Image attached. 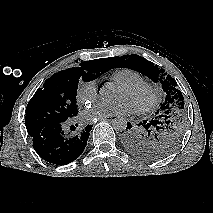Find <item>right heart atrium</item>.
Masks as SVG:
<instances>
[{
  "label": "right heart atrium",
  "instance_id": "right-heart-atrium-1",
  "mask_svg": "<svg viewBox=\"0 0 213 213\" xmlns=\"http://www.w3.org/2000/svg\"><path fill=\"white\" fill-rule=\"evenodd\" d=\"M77 102L82 105H91L98 98V87L96 80L80 82L77 89Z\"/></svg>",
  "mask_w": 213,
  "mask_h": 213
}]
</instances>
